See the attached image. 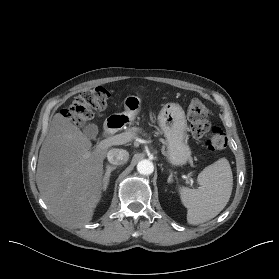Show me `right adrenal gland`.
Masks as SVG:
<instances>
[{
	"instance_id": "2a0ac1e0",
	"label": "right adrenal gland",
	"mask_w": 279,
	"mask_h": 279,
	"mask_svg": "<svg viewBox=\"0 0 279 279\" xmlns=\"http://www.w3.org/2000/svg\"><path fill=\"white\" fill-rule=\"evenodd\" d=\"M117 168L116 165H107L106 166V171H105V175H104V190L107 189V186L109 184V178L111 175V172L114 171Z\"/></svg>"
}]
</instances>
